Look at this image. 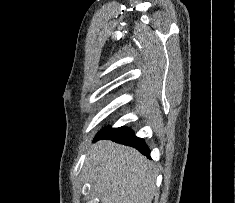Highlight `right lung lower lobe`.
<instances>
[{"instance_id":"98d812e1","label":"right lung lower lobe","mask_w":235,"mask_h":203,"mask_svg":"<svg viewBox=\"0 0 235 203\" xmlns=\"http://www.w3.org/2000/svg\"><path fill=\"white\" fill-rule=\"evenodd\" d=\"M99 139H110L117 143L134 147L143 155L150 158V150L148 146L145 144L143 139L136 137L129 128L119 127L103 129L96 135L93 142Z\"/></svg>"}]
</instances>
